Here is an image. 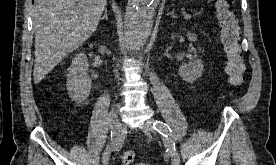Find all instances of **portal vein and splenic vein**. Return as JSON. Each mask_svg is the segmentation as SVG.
I'll return each instance as SVG.
<instances>
[{"label":"portal vein and splenic vein","mask_w":276,"mask_h":165,"mask_svg":"<svg viewBox=\"0 0 276 165\" xmlns=\"http://www.w3.org/2000/svg\"><path fill=\"white\" fill-rule=\"evenodd\" d=\"M184 18H185L186 20H188V19L191 18V15L184 12Z\"/></svg>","instance_id":"1"}]
</instances>
